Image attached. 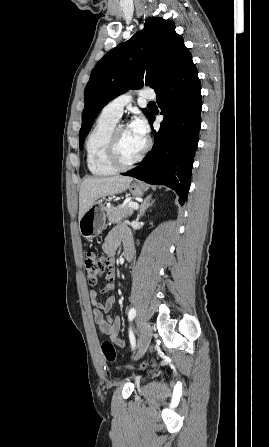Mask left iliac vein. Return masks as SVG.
<instances>
[{"label": "left iliac vein", "mask_w": 269, "mask_h": 447, "mask_svg": "<svg viewBox=\"0 0 269 447\" xmlns=\"http://www.w3.org/2000/svg\"><path fill=\"white\" fill-rule=\"evenodd\" d=\"M151 338H152L151 325L148 322H145L141 327L140 346L138 353L134 357V360H138L143 356V354L146 352L147 347L150 344Z\"/></svg>", "instance_id": "obj_1"}]
</instances>
